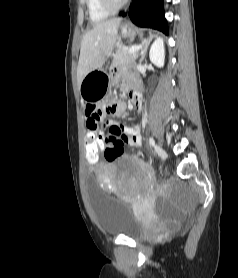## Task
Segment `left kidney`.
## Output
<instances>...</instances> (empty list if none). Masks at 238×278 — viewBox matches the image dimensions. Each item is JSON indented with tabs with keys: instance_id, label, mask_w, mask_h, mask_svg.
Segmentation results:
<instances>
[{
	"instance_id": "left-kidney-1",
	"label": "left kidney",
	"mask_w": 238,
	"mask_h": 278,
	"mask_svg": "<svg viewBox=\"0 0 238 278\" xmlns=\"http://www.w3.org/2000/svg\"><path fill=\"white\" fill-rule=\"evenodd\" d=\"M150 61L158 67H163L165 60L164 42L161 37L157 38L151 46L149 53Z\"/></svg>"
}]
</instances>
